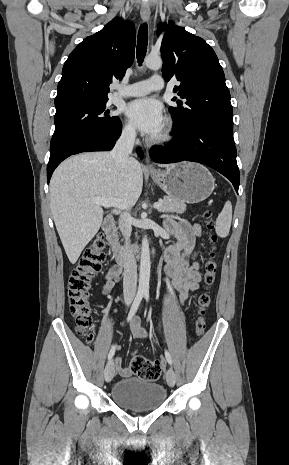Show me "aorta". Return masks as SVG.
I'll return each instance as SVG.
<instances>
[{"label": "aorta", "mask_w": 289, "mask_h": 465, "mask_svg": "<svg viewBox=\"0 0 289 465\" xmlns=\"http://www.w3.org/2000/svg\"><path fill=\"white\" fill-rule=\"evenodd\" d=\"M144 64L153 70H158L162 67V59L158 55H148ZM150 280V250L148 239L145 236L142 239L141 258H140V274H139V290L148 291Z\"/></svg>", "instance_id": "1"}]
</instances>
